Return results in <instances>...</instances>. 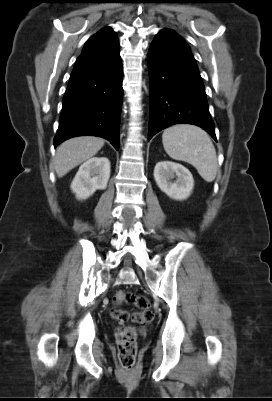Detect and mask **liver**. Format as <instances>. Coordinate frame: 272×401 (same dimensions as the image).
Wrapping results in <instances>:
<instances>
[{
	"mask_svg": "<svg viewBox=\"0 0 272 401\" xmlns=\"http://www.w3.org/2000/svg\"><path fill=\"white\" fill-rule=\"evenodd\" d=\"M104 146V139L94 136L74 137L58 146L54 167L59 178L93 157Z\"/></svg>",
	"mask_w": 272,
	"mask_h": 401,
	"instance_id": "obj_1",
	"label": "liver"
}]
</instances>
